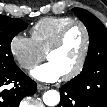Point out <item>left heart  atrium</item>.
I'll use <instances>...</instances> for the list:
<instances>
[{
  "instance_id": "1",
  "label": "left heart atrium",
  "mask_w": 107,
  "mask_h": 107,
  "mask_svg": "<svg viewBox=\"0 0 107 107\" xmlns=\"http://www.w3.org/2000/svg\"><path fill=\"white\" fill-rule=\"evenodd\" d=\"M31 75L38 81L53 83L58 81L63 76V73L54 62L48 61L34 68Z\"/></svg>"
}]
</instances>
